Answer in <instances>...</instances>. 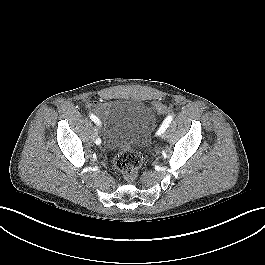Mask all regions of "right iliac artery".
I'll return each mask as SVG.
<instances>
[{"mask_svg":"<svg viewBox=\"0 0 265 265\" xmlns=\"http://www.w3.org/2000/svg\"><path fill=\"white\" fill-rule=\"evenodd\" d=\"M89 117H90V119H91L94 123H96L97 125H100V124H101L100 120H99L94 114H89ZM95 143H96L97 145H100V144H101V140H100V138H97L96 141H95Z\"/></svg>","mask_w":265,"mask_h":265,"instance_id":"1","label":"right iliac artery"}]
</instances>
